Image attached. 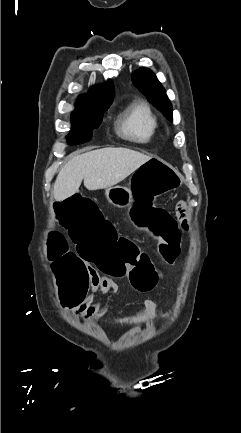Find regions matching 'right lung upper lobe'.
<instances>
[{"label":"right lung upper lobe","instance_id":"right-lung-upper-lobe-1","mask_svg":"<svg viewBox=\"0 0 241 433\" xmlns=\"http://www.w3.org/2000/svg\"><path fill=\"white\" fill-rule=\"evenodd\" d=\"M113 97L114 86L109 80L102 85L91 87L86 95L80 96L77 105L106 107L110 106Z\"/></svg>","mask_w":241,"mask_h":433}]
</instances>
